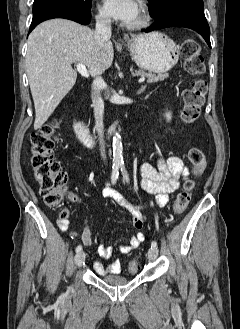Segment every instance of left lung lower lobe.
I'll return each mask as SVG.
<instances>
[{
  "label": "left lung lower lobe",
  "mask_w": 240,
  "mask_h": 329,
  "mask_svg": "<svg viewBox=\"0 0 240 329\" xmlns=\"http://www.w3.org/2000/svg\"><path fill=\"white\" fill-rule=\"evenodd\" d=\"M167 27H187L197 31L211 47L210 28L204 14V7L195 5H177L169 8L145 30L150 32Z\"/></svg>",
  "instance_id": "0a47b994"
}]
</instances>
